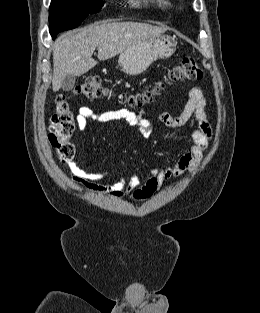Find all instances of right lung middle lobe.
I'll return each instance as SVG.
<instances>
[{
	"instance_id": "dd1d6c3e",
	"label": "right lung middle lobe",
	"mask_w": 260,
	"mask_h": 313,
	"mask_svg": "<svg viewBox=\"0 0 260 313\" xmlns=\"http://www.w3.org/2000/svg\"><path fill=\"white\" fill-rule=\"evenodd\" d=\"M102 0H52L49 9V31L53 38L59 32L76 28L89 14L97 13Z\"/></svg>"
}]
</instances>
